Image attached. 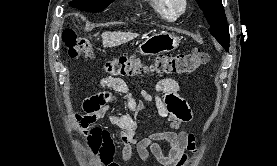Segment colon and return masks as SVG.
Returning <instances> with one entry per match:
<instances>
[{
  "mask_svg": "<svg viewBox=\"0 0 277 166\" xmlns=\"http://www.w3.org/2000/svg\"><path fill=\"white\" fill-rule=\"evenodd\" d=\"M63 41L71 58L84 55L93 58L91 42L85 38H78L71 30L63 34ZM209 60V54L199 49H194L186 54L159 55L150 65H146L137 56H120L103 63V70L111 76H135L142 73H171L189 74L198 70ZM84 118L77 116L79 128L87 132L88 128L83 124Z\"/></svg>",
  "mask_w": 277,
  "mask_h": 166,
  "instance_id": "colon-1",
  "label": "colon"
}]
</instances>
